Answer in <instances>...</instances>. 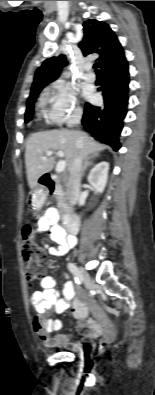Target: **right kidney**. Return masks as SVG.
<instances>
[{
  "instance_id": "1",
  "label": "right kidney",
  "mask_w": 155,
  "mask_h": 395,
  "mask_svg": "<svg viewBox=\"0 0 155 395\" xmlns=\"http://www.w3.org/2000/svg\"><path fill=\"white\" fill-rule=\"evenodd\" d=\"M108 162H100L94 166L88 175V182L98 193H102L106 187L108 179Z\"/></svg>"
}]
</instances>
